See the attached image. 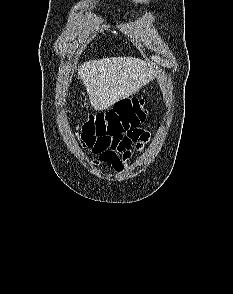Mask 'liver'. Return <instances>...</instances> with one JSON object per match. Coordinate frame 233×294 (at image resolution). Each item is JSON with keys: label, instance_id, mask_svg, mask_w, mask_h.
<instances>
[{"label": "liver", "instance_id": "6515ba94", "mask_svg": "<svg viewBox=\"0 0 233 294\" xmlns=\"http://www.w3.org/2000/svg\"><path fill=\"white\" fill-rule=\"evenodd\" d=\"M159 69L132 57H110L81 64L78 77L83 81L92 107L106 110L128 98L153 80Z\"/></svg>", "mask_w": 233, "mask_h": 294}]
</instances>
